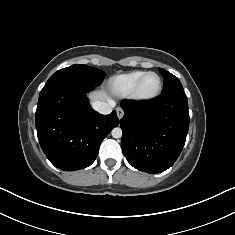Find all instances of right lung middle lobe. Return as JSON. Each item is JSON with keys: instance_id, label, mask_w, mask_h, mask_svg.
<instances>
[{"instance_id": "1", "label": "right lung middle lobe", "mask_w": 235, "mask_h": 235, "mask_svg": "<svg viewBox=\"0 0 235 235\" xmlns=\"http://www.w3.org/2000/svg\"><path fill=\"white\" fill-rule=\"evenodd\" d=\"M105 72L87 65L74 64L54 73L47 83L58 80H79L92 86H98L103 81Z\"/></svg>"}]
</instances>
